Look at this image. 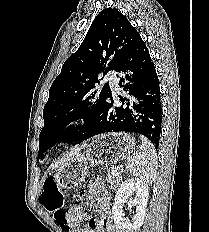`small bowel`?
<instances>
[{
	"label": "small bowel",
	"instance_id": "small-bowel-1",
	"mask_svg": "<svg viewBox=\"0 0 209 232\" xmlns=\"http://www.w3.org/2000/svg\"><path fill=\"white\" fill-rule=\"evenodd\" d=\"M87 185H78V190H73L71 198L74 199L75 206L71 207L65 214L67 226H61L65 232H118L112 223L111 196L99 179H94L89 183V198L92 199L99 219L90 217L88 227L81 229L78 223L85 217L84 208L81 206L86 198L85 191Z\"/></svg>",
	"mask_w": 209,
	"mask_h": 232
}]
</instances>
